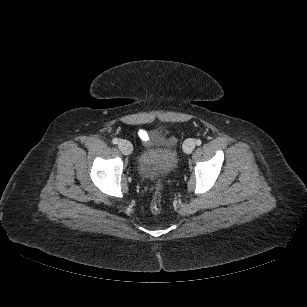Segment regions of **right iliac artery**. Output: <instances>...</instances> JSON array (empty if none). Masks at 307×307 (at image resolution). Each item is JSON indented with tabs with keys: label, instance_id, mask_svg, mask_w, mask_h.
<instances>
[{
	"label": "right iliac artery",
	"instance_id": "82829eb1",
	"mask_svg": "<svg viewBox=\"0 0 307 307\" xmlns=\"http://www.w3.org/2000/svg\"><path fill=\"white\" fill-rule=\"evenodd\" d=\"M112 143H113V144H118V139H117V138H114V139L112 140Z\"/></svg>",
	"mask_w": 307,
	"mask_h": 307
}]
</instances>
